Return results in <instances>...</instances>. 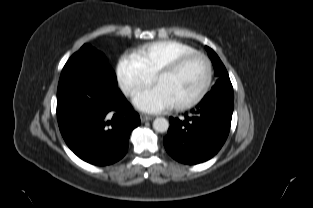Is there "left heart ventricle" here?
I'll list each match as a JSON object with an SVG mask.
<instances>
[{"label": "left heart ventricle", "instance_id": "obj_1", "mask_svg": "<svg viewBox=\"0 0 313 208\" xmlns=\"http://www.w3.org/2000/svg\"><path fill=\"white\" fill-rule=\"evenodd\" d=\"M206 80V65L201 58H195L179 71L162 76L156 82L170 96L174 105L193 99Z\"/></svg>", "mask_w": 313, "mask_h": 208}]
</instances>
